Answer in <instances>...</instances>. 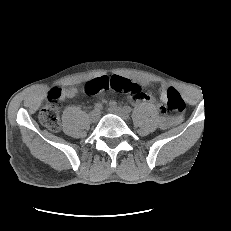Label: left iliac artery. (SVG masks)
I'll list each match as a JSON object with an SVG mask.
<instances>
[{
	"label": "left iliac artery",
	"mask_w": 231,
	"mask_h": 231,
	"mask_svg": "<svg viewBox=\"0 0 231 231\" xmlns=\"http://www.w3.org/2000/svg\"><path fill=\"white\" fill-rule=\"evenodd\" d=\"M123 109L127 112L130 113L132 111V108L130 106H124Z\"/></svg>",
	"instance_id": "obj_1"
}]
</instances>
